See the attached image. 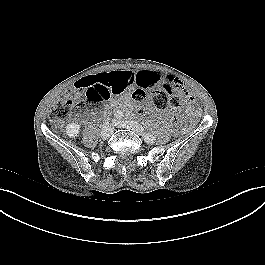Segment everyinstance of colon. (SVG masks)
Listing matches in <instances>:
<instances>
[{
	"label": "colon",
	"mask_w": 265,
	"mask_h": 265,
	"mask_svg": "<svg viewBox=\"0 0 265 265\" xmlns=\"http://www.w3.org/2000/svg\"><path fill=\"white\" fill-rule=\"evenodd\" d=\"M182 81L176 77H167L163 88L155 90L151 102L157 109L167 106L179 108L183 105L189 112L195 113L201 109L202 103L196 94L183 90ZM147 89H136L132 97L138 104L137 110H143V102L147 99ZM112 94L110 77L87 76L78 80L74 88L58 101L51 109L49 117L53 122L66 121L75 108L84 109L86 104H94L107 100Z\"/></svg>",
	"instance_id": "1"
}]
</instances>
